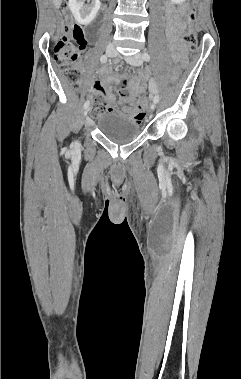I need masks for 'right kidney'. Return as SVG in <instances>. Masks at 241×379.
Segmentation results:
<instances>
[{
	"label": "right kidney",
	"mask_w": 241,
	"mask_h": 379,
	"mask_svg": "<svg viewBox=\"0 0 241 379\" xmlns=\"http://www.w3.org/2000/svg\"><path fill=\"white\" fill-rule=\"evenodd\" d=\"M100 5L99 0H92L90 4H85V0H69L68 3L75 20L81 25H88L95 19Z\"/></svg>",
	"instance_id": "right-kidney-1"
}]
</instances>
